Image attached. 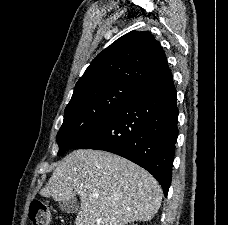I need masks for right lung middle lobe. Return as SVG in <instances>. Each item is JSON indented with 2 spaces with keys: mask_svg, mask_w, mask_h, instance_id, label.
<instances>
[{
  "mask_svg": "<svg viewBox=\"0 0 228 225\" xmlns=\"http://www.w3.org/2000/svg\"><path fill=\"white\" fill-rule=\"evenodd\" d=\"M137 89L127 83L112 82L89 88L69 102L57 134L58 155L110 117Z\"/></svg>",
  "mask_w": 228,
  "mask_h": 225,
  "instance_id": "right-lung-middle-lobe-1",
  "label": "right lung middle lobe"
}]
</instances>
